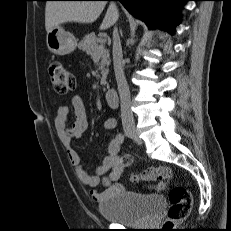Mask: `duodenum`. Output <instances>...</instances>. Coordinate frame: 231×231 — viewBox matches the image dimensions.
Returning a JSON list of instances; mask_svg holds the SVG:
<instances>
[{
  "label": "duodenum",
  "mask_w": 231,
  "mask_h": 231,
  "mask_svg": "<svg viewBox=\"0 0 231 231\" xmlns=\"http://www.w3.org/2000/svg\"><path fill=\"white\" fill-rule=\"evenodd\" d=\"M105 99L111 108H117L119 106V96L114 89L106 90Z\"/></svg>",
  "instance_id": "1"
}]
</instances>
